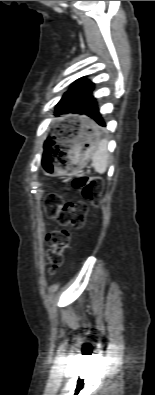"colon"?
<instances>
[{
	"instance_id": "colon-1",
	"label": "colon",
	"mask_w": 155,
	"mask_h": 395,
	"mask_svg": "<svg viewBox=\"0 0 155 395\" xmlns=\"http://www.w3.org/2000/svg\"><path fill=\"white\" fill-rule=\"evenodd\" d=\"M83 197L90 202H97L102 189L103 181L94 176H78L72 182ZM45 215L55 219L62 226L81 228L87 214V204L84 201L65 202L57 193H49L43 199ZM49 249L47 259L53 268L63 262V253L70 246L71 236L67 229L53 230L46 236Z\"/></svg>"
}]
</instances>
